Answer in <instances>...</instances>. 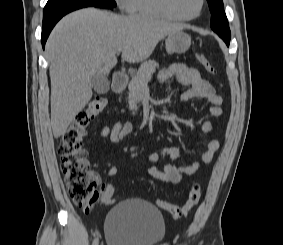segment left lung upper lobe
Returning a JSON list of instances; mask_svg holds the SVG:
<instances>
[{
    "mask_svg": "<svg viewBox=\"0 0 283 245\" xmlns=\"http://www.w3.org/2000/svg\"><path fill=\"white\" fill-rule=\"evenodd\" d=\"M211 15V28L214 30L225 43L230 42V29L223 9L222 0H207Z\"/></svg>",
    "mask_w": 283,
    "mask_h": 245,
    "instance_id": "1",
    "label": "left lung upper lobe"
}]
</instances>
